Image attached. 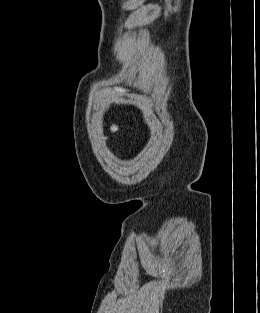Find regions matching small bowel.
Returning <instances> with one entry per match:
<instances>
[{"label":"small bowel","instance_id":"c3829d8e","mask_svg":"<svg viewBox=\"0 0 260 313\" xmlns=\"http://www.w3.org/2000/svg\"><path fill=\"white\" fill-rule=\"evenodd\" d=\"M116 131H117V127H116V126H113L112 132H116Z\"/></svg>","mask_w":260,"mask_h":313}]
</instances>
